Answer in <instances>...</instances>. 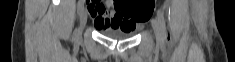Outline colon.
Instances as JSON below:
<instances>
[{
	"label": "colon",
	"instance_id": "5ec220e1",
	"mask_svg": "<svg viewBox=\"0 0 235 62\" xmlns=\"http://www.w3.org/2000/svg\"><path fill=\"white\" fill-rule=\"evenodd\" d=\"M124 13L131 17L135 23L148 20L154 6V0H133L120 3Z\"/></svg>",
	"mask_w": 235,
	"mask_h": 62
}]
</instances>
